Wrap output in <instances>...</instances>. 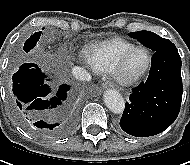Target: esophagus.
<instances>
[{"label":"esophagus","mask_w":190,"mask_h":165,"mask_svg":"<svg viewBox=\"0 0 190 165\" xmlns=\"http://www.w3.org/2000/svg\"><path fill=\"white\" fill-rule=\"evenodd\" d=\"M113 86V84L109 81L105 82L103 85H102V88L103 89H106V88H111Z\"/></svg>","instance_id":"34e87169"}]
</instances>
